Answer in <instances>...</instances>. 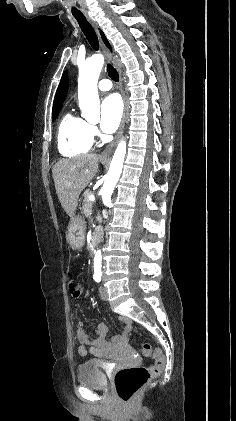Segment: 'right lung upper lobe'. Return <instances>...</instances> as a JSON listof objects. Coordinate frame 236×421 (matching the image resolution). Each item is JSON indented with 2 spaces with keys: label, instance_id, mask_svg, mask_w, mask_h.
I'll return each mask as SVG.
<instances>
[{
  "label": "right lung upper lobe",
  "instance_id": "1",
  "mask_svg": "<svg viewBox=\"0 0 236 421\" xmlns=\"http://www.w3.org/2000/svg\"><path fill=\"white\" fill-rule=\"evenodd\" d=\"M100 33H101L104 43L110 48V44L108 43L104 33L102 31ZM68 84H69L68 77L66 74H64L55 95L53 111L61 109L63 101L66 97L67 90H68Z\"/></svg>",
  "mask_w": 236,
  "mask_h": 421
}]
</instances>
